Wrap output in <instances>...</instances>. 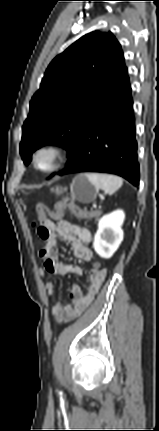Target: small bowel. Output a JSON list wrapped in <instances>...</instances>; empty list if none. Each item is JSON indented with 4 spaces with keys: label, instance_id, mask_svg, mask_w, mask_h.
Segmentation results:
<instances>
[{
    "label": "small bowel",
    "instance_id": "1",
    "mask_svg": "<svg viewBox=\"0 0 159 431\" xmlns=\"http://www.w3.org/2000/svg\"><path fill=\"white\" fill-rule=\"evenodd\" d=\"M38 234L46 242L39 252V256L44 262L43 267L39 268L41 275H45L46 273L57 276H65L70 273L82 274L80 266L65 263L58 259L55 254V248L58 243L57 236L70 243L73 253L78 259L90 261L93 257V252L88 246L92 238L91 233L85 228L78 227L64 220L53 222L47 219L38 228ZM105 276L106 268L99 266L90 270L89 284L85 289H81L78 285H73L70 290L69 302L63 303L58 300L52 308V314L56 322L62 324L79 316L98 294ZM45 291L49 295L57 293L51 281L45 284Z\"/></svg>",
    "mask_w": 159,
    "mask_h": 431
}]
</instances>
